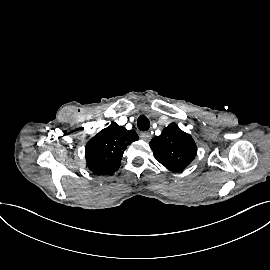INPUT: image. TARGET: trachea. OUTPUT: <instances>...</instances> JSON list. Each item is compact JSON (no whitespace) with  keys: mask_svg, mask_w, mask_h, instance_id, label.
<instances>
[{"mask_svg":"<svg viewBox=\"0 0 270 270\" xmlns=\"http://www.w3.org/2000/svg\"><path fill=\"white\" fill-rule=\"evenodd\" d=\"M137 126L140 131H146L150 128V121L146 116L141 115L137 120Z\"/></svg>","mask_w":270,"mask_h":270,"instance_id":"3493384b","label":"trachea"}]
</instances>
